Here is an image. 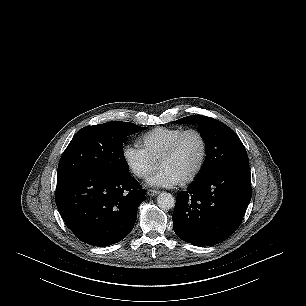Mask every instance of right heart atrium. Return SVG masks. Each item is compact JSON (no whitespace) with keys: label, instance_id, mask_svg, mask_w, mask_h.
<instances>
[{"label":"right heart atrium","instance_id":"d8ad5b80","mask_svg":"<svg viewBox=\"0 0 306 306\" xmlns=\"http://www.w3.org/2000/svg\"><path fill=\"white\" fill-rule=\"evenodd\" d=\"M123 160L129 171L137 178L148 177L157 167V162L146 149L138 144H128L122 151Z\"/></svg>","mask_w":306,"mask_h":306}]
</instances>
